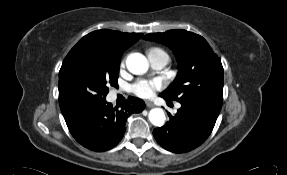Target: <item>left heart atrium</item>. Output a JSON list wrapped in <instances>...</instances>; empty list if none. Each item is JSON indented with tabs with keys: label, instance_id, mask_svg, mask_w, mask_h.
Instances as JSON below:
<instances>
[{
	"label": "left heart atrium",
	"instance_id": "1",
	"mask_svg": "<svg viewBox=\"0 0 287 175\" xmlns=\"http://www.w3.org/2000/svg\"><path fill=\"white\" fill-rule=\"evenodd\" d=\"M161 87L162 81L158 78L139 79L131 86V91L139 97L149 98Z\"/></svg>",
	"mask_w": 287,
	"mask_h": 175
}]
</instances>
